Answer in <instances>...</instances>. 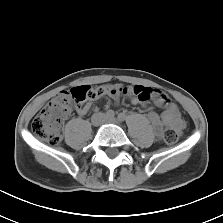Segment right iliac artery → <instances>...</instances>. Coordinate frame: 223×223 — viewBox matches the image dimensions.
Segmentation results:
<instances>
[{
	"instance_id": "82829eb1",
	"label": "right iliac artery",
	"mask_w": 223,
	"mask_h": 223,
	"mask_svg": "<svg viewBox=\"0 0 223 223\" xmlns=\"http://www.w3.org/2000/svg\"><path fill=\"white\" fill-rule=\"evenodd\" d=\"M114 111L113 110H108L107 112H106V116L107 117H109V118H112V117H114Z\"/></svg>"
}]
</instances>
